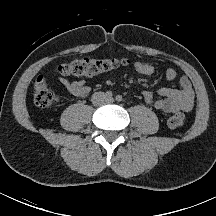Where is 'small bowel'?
I'll return each instance as SVG.
<instances>
[{
  "instance_id": "small-bowel-1",
  "label": "small bowel",
  "mask_w": 216,
  "mask_h": 216,
  "mask_svg": "<svg viewBox=\"0 0 216 216\" xmlns=\"http://www.w3.org/2000/svg\"><path fill=\"white\" fill-rule=\"evenodd\" d=\"M134 67L138 73L144 76H150L154 73V66L144 61H136ZM177 73L173 68L165 71V78L172 82L176 79ZM60 83L72 95L86 97L90 88L85 85L83 80L69 81L65 78H59ZM180 89L163 87L156 93L145 90L142 92L144 100L154 109L164 113H174L178 111L188 112L194 106V91L190 80L186 76L179 79Z\"/></svg>"
}]
</instances>
